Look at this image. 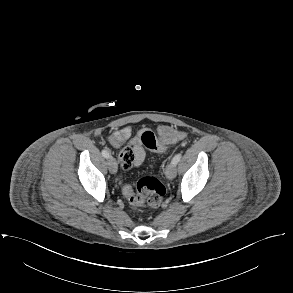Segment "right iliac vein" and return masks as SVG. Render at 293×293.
Masks as SVG:
<instances>
[{"mask_svg":"<svg viewBox=\"0 0 293 293\" xmlns=\"http://www.w3.org/2000/svg\"><path fill=\"white\" fill-rule=\"evenodd\" d=\"M108 168H109V171L112 173V174H115L117 172V162L115 160L114 157L110 156L108 158Z\"/></svg>","mask_w":293,"mask_h":293,"instance_id":"obj_1","label":"right iliac vein"}]
</instances>
